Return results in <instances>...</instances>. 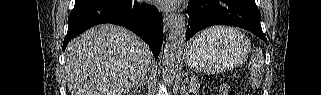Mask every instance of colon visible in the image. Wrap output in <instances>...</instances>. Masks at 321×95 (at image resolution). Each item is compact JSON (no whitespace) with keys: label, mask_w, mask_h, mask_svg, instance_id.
<instances>
[{"label":"colon","mask_w":321,"mask_h":95,"mask_svg":"<svg viewBox=\"0 0 321 95\" xmlns=\"http://www.w3.org/2000/svg\"><path fill=\"white\" fill-rule=\"evenodd\" d=\"M221 95H235V92L229 86H223L220 90Z\"/></svg>","instance_id":"colon-1"}]
</instances>
